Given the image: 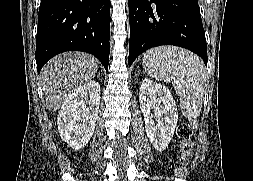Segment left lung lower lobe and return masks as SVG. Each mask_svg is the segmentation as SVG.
Masks as SVG:
<instances>
[{"label":"left lung lower lobe","instance_id":"1","mask_svg":"<svg viewBox=\"0 0 253 181\" xmlns=\"http://www.w3.org/2000/svg\"><path fill=\"white\" fill-rule=\"evenodd\" d=\"M129 66L145 50L176 45L207 65V45L197 0H129Z\"/></svg>","mask_w":253,"mask_h":181}]
</instances>
